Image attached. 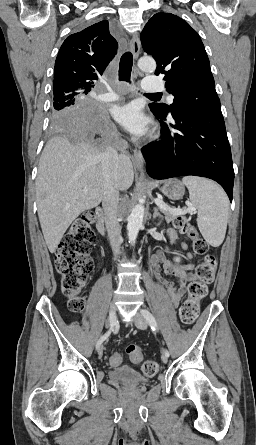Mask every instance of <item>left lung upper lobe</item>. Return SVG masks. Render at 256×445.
<instances>
[{"instance_id": "5c2ea615", "label": "left lung upper lobe", "mask_w": 256, "mask_h": 445, "mask_svg": "<svg viewBox=\"0 0 256 445\" xmlns=\"http://www.w3.org/2000/svg\"><path fill=\"white\" fill-rule=\"evenodd\" d=\"M141 43L157 62L156 75L164 74L173 103H152L150 109L167 116L180 105L221 110L204 45L190 25L171 13H157L145 25Z\"/></svg>"}]
</instances>
